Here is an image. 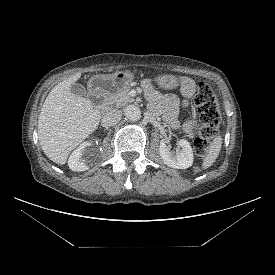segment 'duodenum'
<instances>
[{
    "label": "duodenum",
    "instance_id": "410a0bca",
    "mask_svg": "<svg viewBox=\"0 0 275 275\" xmlns=\"http://www.w3.org/2000/svg\"><path fill=\"white\" fill-rule=\"evenodd\" d=\"M95 96L99 100L98 108H99L100 112L101 113L106 112L109 108V105H108V102H107V99H106L104 93L100 90H96L95 91Z\"/></svg>",
    "mask_w": 275,
    "mask_h": 275
}]
</instances>
